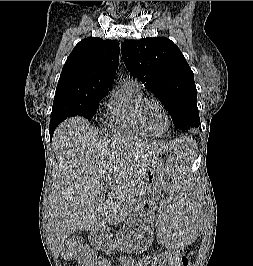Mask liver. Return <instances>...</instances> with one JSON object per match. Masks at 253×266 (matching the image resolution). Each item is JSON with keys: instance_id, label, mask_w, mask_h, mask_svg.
<instances>
[{"instance_id": "6515ba94", "label": "liver", "mask_w": 253, "mask_h": 266, "mask_svg": "<svg viewBox=\"0 0 253 266\" xmlns=\"http://www.w3.org/2000/svg\"><path fill=\"white\" fill-rule=\"evenodd\" d=\"M52 143L59 164L51 199L58 254L77 230L98 231L125 221L135 209L147 169L171 149L161 141L101 137L82 117L62 122Z\"/></svg>"}]
</instances>
